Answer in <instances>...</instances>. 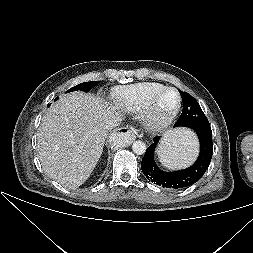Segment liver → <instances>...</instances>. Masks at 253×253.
Instances as JSON below:
<instances>
[{"instance_id": "6515ba94", "label": "liver", "mask_w": 253, "mask_h": 253, "mask_svg": "<svg viewBox=\"0 0 253 253\" xmlns=\"http://www.w3.org/2000/svg\"><path fill=\"white\" fill-rule=\"evenodd\" d=\"M118 107L83 92L65 94L46 112L37 133L38 157L45 173L76 189L93 172L103 152L108 124Z\"/></svg>"}]
</instances>
